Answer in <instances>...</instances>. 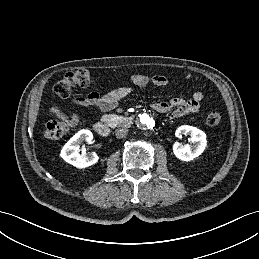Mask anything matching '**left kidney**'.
Returning a JSON list of instances; mask_svg holds the SVG:
<instances>
[{"label": "left kidney", "instance_id": "5707ae66", "mask_svg": "<svg viewBox=\"0 0 259 259\" xmlns=\"http://www.w3.org/2000/svg\"><path fill=\"white\" fill-rule=\"evenodd\" d=\"M186 134L191 136L190 140L193 144L182 145L176 142L173 145V152L178 159L182 161H191L205 150L207 145L206 134L202 130L188 125L179 127L175 133L178 138Z\"/></svg>", "mask_w": 259, "mask_h": 259}]
</instances>
